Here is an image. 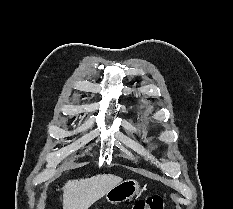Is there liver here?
<instances>
[{
  "instance_id": "obj_1",
  "label": "liver",
  "mask_w": 233,
  "mask_h": 209,
  "mask_svg": "<svg viewBox=\"0 0 233 209\" xmlns=\"http://www.w3.org/2000/svg\"><path fill=\"white\" fill-rule=\"evenodd\" d=\"M121 181L112 174L69 180L63 187V209H88Z\"/></svg>"
}]
</instances>
